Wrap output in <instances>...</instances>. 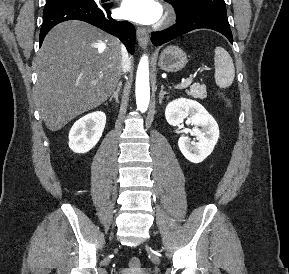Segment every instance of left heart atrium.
I'll return each instance as SVG.
<instances>
[{
  "label": "left heart atrium",
  "instance_id": "39dd6f15",
  "mask_svg": "<svg viewBox=\"0 0 289 274\" xmlns=\"http://www.w3.org/2000/svg\"><path fill=\"white\" fill-rule=\"evenodd\" d=\"M122 17L141 24L156 22L161 16V6L156 0H123L120 6Z\"/></svg>",
  "mask_w": 289,
  "mask_h": 274
}]
</instances>
